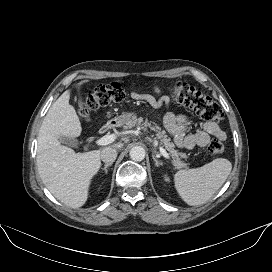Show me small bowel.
Wrapping results in <instances>:
<instances>
[{"instance_id":"obj_1","label":"small bowel","mask_w":272,"mask_h":272,"mask_svg":"<svg viewBox=\"0 0 272 272\" xmlns=\"http://www.w3.org/2000/svg\"><path fill=\"white\" fill-rule=\"evenodd\" d=\"M155 95L147 93H139L132 91L130 96L132 99L147 103L151 107L158 109L165 107L167 109L163 116V124L171 135L173 141L178 147L190 150L195 147H205L211 137L219 140L226 139V133L219 127V125L212 121L201 123V129L188 133L189 116L185 114H175L169 109L170 98L167 95H162L158 86H153Z\"/></svg>"}]
</instances>
